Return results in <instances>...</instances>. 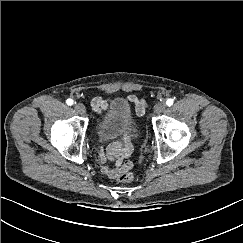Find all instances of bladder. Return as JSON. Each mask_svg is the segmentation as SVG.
<instances>
[{
	"instance_id": "obj_1",
	"label": "bladder",
	"mask_w": 243,
	"mask_h": 243,
	"mask_svg": "<svg viewBox=\"0 0 243 243\" xmlns=\"http://www.w3.org/2000/svg\"><path fill=\"white\" fill-rule=\"evenodd\" d=\"M135 124L136 120L130 104L126 100L118 98L110 103L96 127V134L101 141H110L135 129Z\"/></svg>"
}]
</instances>
